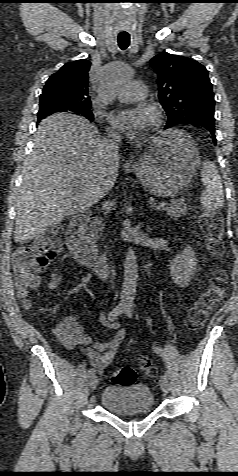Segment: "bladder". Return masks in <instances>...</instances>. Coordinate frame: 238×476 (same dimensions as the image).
<instances>
[{"label":"bladder","instance_id":"obj_1","mask_svg":"<svg viewBox=\"0 0 238 476\" xmlns=\"http://www.w3.org/2000/svg\"><path fill=\"white\" fill-rule=\"evenodd\" d=\"M154 395L144 384H113L106 386L100 396L101 406L117 416H131L154 408Z\"/></svg>","mask_w":238,"mask_h":476}]
</instances>
